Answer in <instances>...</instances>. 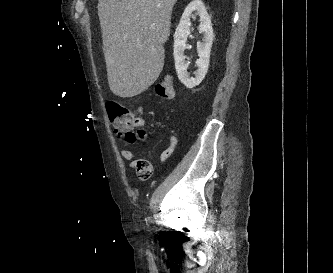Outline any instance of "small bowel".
<instances>
[{
  "label": "small bowel",
  "mask_w": 333,
  "mask_h": 273,
  "mask_svg": "<svg viewBox=\"0 0 333 273\" xmlns=\"http://www.w3.org/2000/svg\"><path fill=\"white\" fill-rule=\"evenodd\" d=\"M135 112H136V116H137L136 121H137V123L140 124V126H142L147 121V118H146L147 113H146V111H144L143 106H136ZM177 145H178V138L176 135L172 134L169 137L167 147L161 152V154L159 156V162H165L174 153ZM121 157L124 160L129 161L130 167H132V168L135 167L137 159L132 150L122 149Z\"/></svg>",
  "instance_id": "obj_1"
}]
</instances>
